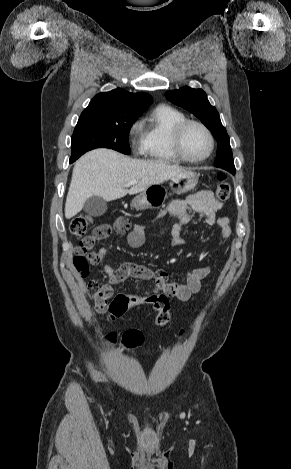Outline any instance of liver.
I'll return each instance as SVG.
<instances>
[{
  "instance_id": "1",
  "label": "liver",
  "mask_w": 291,
  "mask_h": 469,
  "mask_svg": "<svg viewBox=\"0 0 291 469\" xmlns=\"http://www.w3.org/2000/svg\"><path fill=\"white\" fill-rule=\"evenodd\" d=\"M184 169L158 161L132 159L116 151L99 148L84 154L74 165L65 217L78 214L91 196L112 201L143 192L183 172ZM135 181L128 190L126 184Z\"/></svg>"
}]
</instances>
